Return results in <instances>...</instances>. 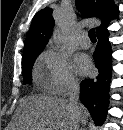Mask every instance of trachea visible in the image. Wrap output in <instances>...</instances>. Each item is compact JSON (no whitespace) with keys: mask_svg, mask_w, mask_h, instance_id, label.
<instances>
[{"mask_svg":"<svg viewBox=\"0 0 123 130\" xmlns=\"http://www.w3.org/2000/svg\"><path fill=\"white\" fill-rule=\"evenodd\" d=\"M88 35L91 41H96V34L94 29L89 30Z\"/></svg>","mask_w":123,"mask_h":130,"instance_id":"obj_1","label":"trachea"}]
</instances>
